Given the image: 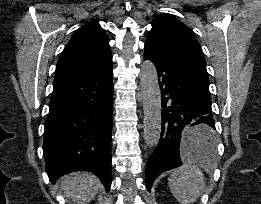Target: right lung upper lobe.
Segmentation results:
<instances>
[{
  "label": "right lung upper lobe",
  "mask_w": 261,
  "mask_h": 204,
  "mask_svg": "<svg viewBox=\"0 0 261 204\" xmlns=\"http://www.w3.org/2000/svg\"><path fill=\"white\" fill-rule=\"evenodd\" d=\"M112 62L107 34L97 22L79 28L58 60L54 81L93 72Z\"/></svg>",
  "instance_id": "obj_1"
}]
</instances>
